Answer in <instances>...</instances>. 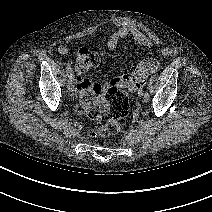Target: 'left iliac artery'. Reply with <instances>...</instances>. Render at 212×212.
<instances>
[{
    "mask_svg": "<svg viewBox=\"0 0 212 212\" xmlns=\"http://www.w3.org/2000/svg\"><path fill=\"white\" fill-rule=\"evenodd\" d=\"M145 101L148 102L150 100V94L147 90H145Z\"/></svg>",
    "mask_w": 212,
    "mask_h": 212,
    "instance_id": "44dca946",
    "label": "left iliac artery"
}]
</instances>
